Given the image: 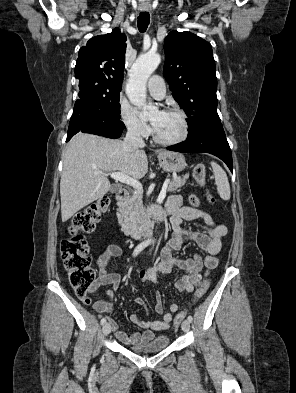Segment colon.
Masks as SVG:
<instances>
[{"mask_svg":"<svg viewBox=\"0 0 296 393\" xmlns=\"http://www.w3.org/2000/svg\"><path fill=\"white\" fill-rule=\"evenodd\" d=\"M193 176L198 186L203 187L206 180V167L204 164H197L193 170ZM210 203L214 202L211 195H207ZM191 202L197 206L199 201L196 195L191 196ZM109 206L107 197H100L87 207L75 213L69 225V237L61 243V257L65 269L68 272V281L75 293L79 297L88 294L97 285V276L92 266L90 248L82 233L91 232L102 213L106 212ZM209 287V282L204 281L194 295V301L202 298ZM188 308L180 311L174 319V324L179 325L186 317Z\"/></svg>","mask_w":296,"mask_h":393,"instance_id":"obj_1","label":"colon"}]
</instances>
